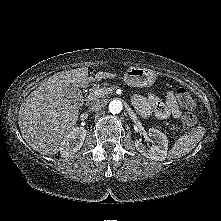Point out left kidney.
Here are the masks:
<instances>
[{
	"label": "left kidney",
	"mask_w": 221,
	"mask_h": 221,
	"mask_svg": "<svg viewBox=\"0 0 221 221\" xmlns=\"http://www.w3.org/2000/svg\"><path fill=\"white\" fill-rule=\"evenodd\" d=\"M148 135L154 139L156 144L152 145L151 148L148 149L145 145L142 144L141 141L136 140L134 144L137 151L151 160L164 161L168 150L167 136L154 128L149 129Z\"/></svg>",
	"instance_id": "left-kidney-1"
}]
</instances>
